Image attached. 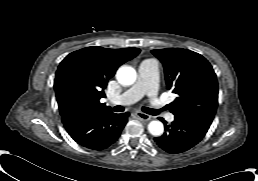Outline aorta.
<instances>
[{
	"instance_id": "1",
	"label": "aorta",
	"mask_w": 258,
	"mask_h": 181,
	"mask_svg": "<svg viewBox=\"0 0 258 181\" xmlns=\"http://www.w3.org/2000/svg\"><path fill=\"white\" fill-rule=\"evenodd\" d=\"M116 78L121 85L130 86L135 83L137 73L131 66H121L117 70ZM148 131L153 136H160L163 134L164 126L159 120H153L148 124Z\"/></svg>"
}]
</instances>
